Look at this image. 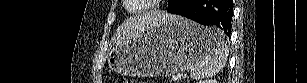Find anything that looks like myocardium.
<instances>
[{
    "label": "myocardium",
    "mask_w": 307,
    "mask_h": 83,
    "mask_svg": "<svg viewBox=\"0 0 307 83\" xmlns=\"http://www.w3.org/2000/svg\"><path fill=\"white\" fill-rule=\"evenodd\" d=\"M128 1V0H127ZM153 2H159V1H153ZM149 10V7H144L142 9H139V10H132L130 7H127V11L130 12V13H133V14H137V13H143L145 11Z\"/></svg>",
    "instance_id": "1"
}]
</instances>
